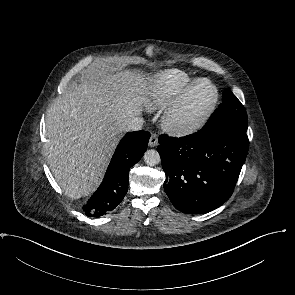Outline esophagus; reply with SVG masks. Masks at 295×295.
<instances>
[{
  "label": "esophagus",
  "mask_w": 295,
  "mask_h": 295,
  "mask_svg": "<svg viewBox=\"0 0 295 295\" xmlns=\"http://www.w3.org/2000/svg\"><path fill=\"white\" fill-rule=\"evenodd\" d=\"M148 145L149 147H155L158 145V136L155 133L151 135Z\"/></svg>",
  "instance_id": "esophagus-1"
}]
</instances>
